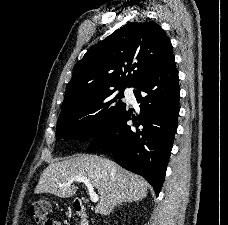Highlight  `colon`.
I'll use <instances>...</instances> for the list:
<instances>
[{"mask_svg": "<svg viewBox=\"0 0 228 225\" xmlns=\"http://www.w3.org/2000/svg\"><path fill=\"white\" fill-rule=\"evenodd\" d=\"M27 214L36 225H57L50 219V203L45 200L32 201L27 207Z\"/></svg>", "mask_w": 228, "mask_h": 225, "instance_id": "1", "label": "colon"}]
</instances>
